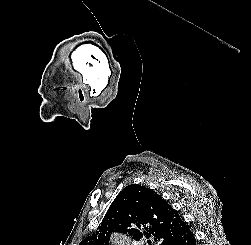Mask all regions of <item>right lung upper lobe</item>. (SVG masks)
<instances>
[{
    "label": "right lung upper lobe",
    "instance_id": "cb5924a9",
    "mask_svg": "<svg viewBox=\"0 0 251 245\" xmlns=\"http://www.w3.org/2000/svg\"><path fill=\"white\" fill-rule=\"evenodd\" d=\"M188 228L175 209L146 186H126L112 202L101 225L79 245H108L114 232L129 234L136 240L156 237L160 245L178 237Z\"/></svg>",
    "mask_w": 251,
    "mask_h": 245
}]
</instances>
